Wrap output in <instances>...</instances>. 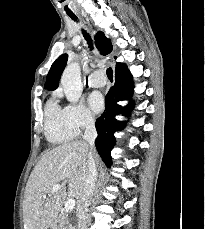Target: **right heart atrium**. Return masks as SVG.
Segmentation results:
<instances>
[{
    "label": "right heart atrium",
    "instance_id": "d8ad5b80",
    "mask_svg": "<svg viewBox=\"0 0 205 229\" xmlns=\"http://www.w3.org/2000/svg\"><path fill=\"white\" fill-rule=\"evenodd\" d=\"M64 112L67 121L77 133L94 126L96 122L93 113L82 103L67 104Z\"/></svg>",
    "mask_w": 205,
    "mask_h": 229
}]
</instances>
